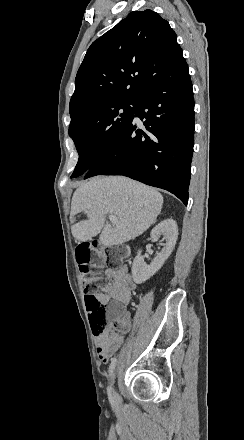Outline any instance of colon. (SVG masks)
<instances>
[{
    "mask_svg": "<svg viewBox=\"0 0 244 440\" xmlns=\"http://www.w3.org/2000/svg\"><path fill=\"white\" fill-rule=\"evenodd\" d=\"M97 246H93L92 242L89 245H84L80 248H75L74 255L77 260L76 269L81 271L82 279L85 285L83 306L84 313H89L90 319H107V325L111 326L116 333L123 332L127 327V319L129 317L128 310H124L123 305L114 304H97L95 295L98 292V286L103 281L98 278L86 274L89 271H94L98 276L102 272H113L114 267L122 266L123 255L127 252L123 248H103L102 251ZM105 257H108L105 259ZM93 261V262H92Z\"/></svg>",
    "mask_w": 244,
    "mask_h": 440,
    "instance_id": "5ec220e1",
    "label": "colon"
}]
</instances>
